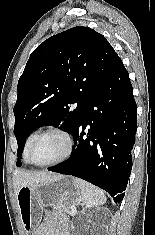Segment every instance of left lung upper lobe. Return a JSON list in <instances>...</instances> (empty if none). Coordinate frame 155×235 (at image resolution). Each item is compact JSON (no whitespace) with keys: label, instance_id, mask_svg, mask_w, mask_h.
<instances>
[{"label":"left lung upper lobe","instance_id":"5c2ea615","mask_svg":"<svg viewBox=\"0 0 155 235\" xmlns=\"http://www.w3.org/2000/svg\"><path fill=\"white\" fill-rule=\"evenodd\" d=\"M119 59L103 35L84 26L52 36L32 52L14 106L17 166L25 140L35 129L52 125L74 132L89 100Z\"/></svg>","mask_w":155,"mask_h":235}]
</instances>
